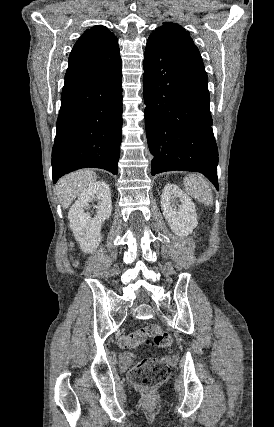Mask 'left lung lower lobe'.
I'll return each mask as SVG.
<instances>
[{
	"mask_svg": "<svg viewBox=\"0 0 274 427\" xmlns=\"http://www.w3.org/2000/svg\"><path fill=\"white\" fill-rule=\"evenodd\" d=\"M143 83L151 174L200 172L218 190V149L203 62L148 39Z\"/></svg>",
	"mask_w": 274,
	"mask_h": 427,
	"instance_id": "0a47b994",
	"label": "left lung lower lobe"
}]
</instances>
